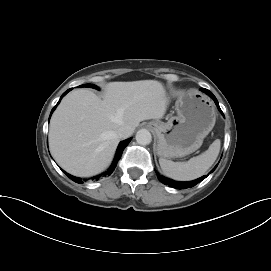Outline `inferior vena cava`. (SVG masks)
<instances>
[{"label": "inferior vena cava", "instance_id": "inferior-vena-cava-1", "mask_svg": "<svg viewBox=\"0 0 271 271\" xmlns=\"http://www.w3.org/2000/svg\"><path fill=\"white\" fill-rule=\"evenodd\" d=\"M134 132V128H132L131 126L125 125V126H121L118 131L117 134L119 136V138H128L130 137Z\"/></svg>", "mask_w": 271, "mask_h": 271}]
</instances>
